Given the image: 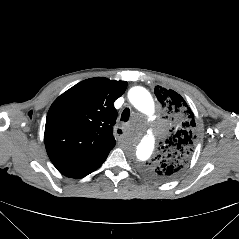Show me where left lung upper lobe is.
<instances>
[{
  "label": "left lung upper lobe",
  "instance_id": "left-lung-upper-lobe-1",
  "mask_svg": "<svg viewBox=\"0 0 239 239\" xmlns=\"http://www.w3.org/2000/svg\"><path fill=\"white\" fill-rule=\"evenodd\" d=\"M154 93L173 125L172 134L142 172L155 181L165 182L178 177L187 167L195 149L196 125L193 112L180 94L161 86L155 87Z\"/></svg>",
  "mask_w": 239,
  "mask_h": 239
}]
</instances>
